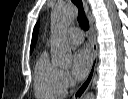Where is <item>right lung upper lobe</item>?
I'll list each match as a JSON object with an SVG mask.
<instances>
[{
  "label": "right lung upper lobe",
  "mask_w": 128,
  "mask_h": 99,
  "mask_svg": "<svg viewBox=\"0 0 128 99\" xmlns=\"http://www.w3.org/2000/svg\"><path fill=\"white\" fill-rule=\"evenodd\" d=\"M38 26H39V24L37 23L35 28H34V31H33L32 42H31V50H30L31 52H32V50L34 48V45L36 43V40H37Z\"/></svg>",
  "instance_id": "cb5924a9"
}]
</instances>
